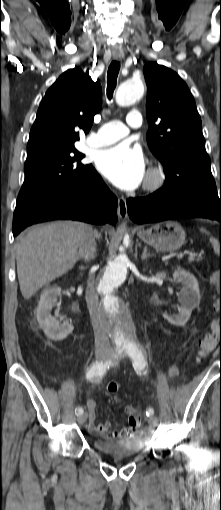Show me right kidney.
<instances>
[{"instance_id":"1","label":"right kidney","mask_w":221,"mask_h":510,"mask_svg":"<svg viewBox=\"0 0 221 510\" xmlns=\"http://www.w3.org/2000/svg\"><path fill=\"white\" fill-rule=\"evenodd\" d=\"M61 295V288L54 286L45 289L41 296L35 314L39 326L43 329L45 335L54 341L65 339L74 329L68 321L61 323L52 317L51 310L57 297Z\"/></svg>"}]
</instances>
